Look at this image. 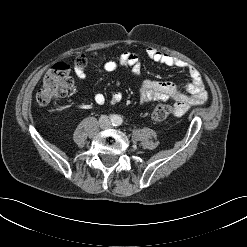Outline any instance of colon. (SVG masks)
I'll return each mask as SVG.
<instances>
[{
  "label": "colon",
  "mask_w": 247,
  "mask_h": 247,
  "mask_svg": "<svg viewBox=\"0 0 247 247\" xmlns=\"http://www.w3.org/2000/svg\"><path fill=\"white\" fill-rule=\"evenodd\" d=\"M88 62L85 55L78 56L74 60L76 67L84 68ZM71 66L67 63H59L53 66L45 75L42 85L37 92L36 100L41 106H46L52 101L67 96L73 86V79L70 75ZM175 112L172 103L157 105L152 112V118L161 122L169 118Z\"/></svg>",
  "instance_id": "1"
}]
</instances>
